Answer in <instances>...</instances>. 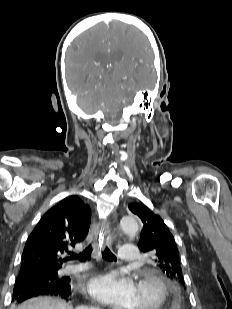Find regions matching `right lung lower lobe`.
I'll return each instance as SVG.
<instances>
[{
  "mask_svg": "<svg viewBox=\"0 0 232 309\" xmlns=\"http://www.w3.org/2000/svg\"><path fill=\"white\" fill-rule=\"evenodd\" d=\"M33 270L34 268L31 265L25 264L21 266L20 273L33 274ZM72 293L73 291L69 284L68 278H66L64 282H60L55 285L35 283L32 280L17 278L13 291V300L21 303L29 298L40 295H57L65 300H70L72 298Z\"/></svg>",
  "mask_w": 232,
  "mask_h": 309,
  "instance_id": "obj_1",
  "label": "right lung lower lobe"
}]
</instances>
